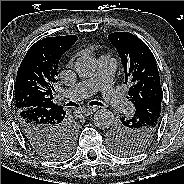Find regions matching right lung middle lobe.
I'll return each instance as SVG.
<instances>
[{"label":"right lung middle lobe","mask_w":184,"mask_h":184,"mask_svg":"<svg viewBox=\"0 0 184 184\" xmlns=\"http://www.w3.org/2000/svg\"><path fill=\"white\" fill-rule=\"evenodd\" d=\"M74 133H75L74 128L70 127L67 130L65 137L63 138L64 140L59 146L49 149H43L39 151V154L47 159H63L68 157L74 147L75 142Z\"/></svg>","instance_id":"obj_1"}]
</instances>
